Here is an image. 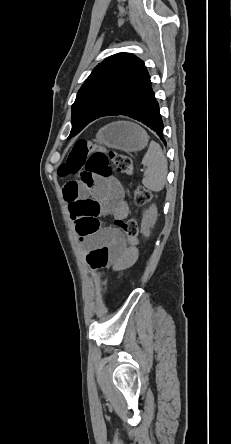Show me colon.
Returning a JSON list of instances; mask_svg holds the SVG:
<instances>
[{"label":"colon","mask_w":231,"mask_h":444,"mask_svg":"<svg viewBox=\"0 0 231 444\" xmlns=\"http://www.w3.org/2000/svg\"><path fill=\"white\" fill-rule=\"evenodd\" d=\"M112 169L124 175H131L134 170L133 161L126 154L107 151L102 145L79 140L73 145L67 160L59 166L58 175H77L80 180L76 182L90 186L97 177H109ZM150 199L151 192L147 188L139 186L135 189L134 202L137 206L146 204ZM71 214L81 237H89L99 230L98 205L93 200L77 201L71 207ZM118 227L127 239L129 248L134 247L139 230L136 217L132 216L119 222ZM102 289L107 291L108 284L103 283Z\"/></svg>","instance_id":"obj_1"}]
</instances>
